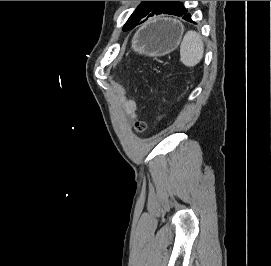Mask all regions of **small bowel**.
Listing matches in <instances>:
<instances>
[{"mask_svg": "<svg viewBox=\"0 0 271 266\" xmlns=\"http://www.w3.org/2000/svg\"><path fill=\"white\" fill-rule=\"evenodd\" d=\"M125 107H126V110H127V112H128L129 114L134 115V113H135V106H134V103H133V102L127 101V102L125 103Z\"/></svg>", "mask_w": 271, "mask_h": 266, "instance_id": "small-bowel-1", "label": "small bowel"}]
</instances>
